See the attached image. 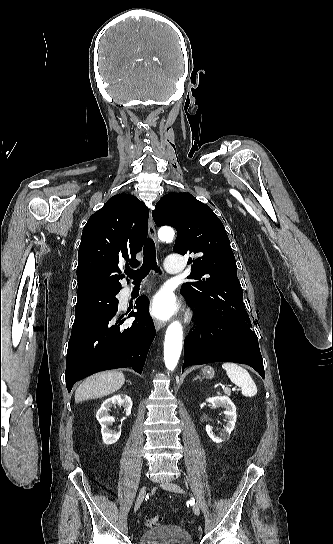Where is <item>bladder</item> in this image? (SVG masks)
Wrapping results in <instances>:
<instances>
[{
	"label": "bladder",
	"mask_w": 333,
	"mask_h": 544,
	"mask_svg": "<svg viewBox=\"0 0 333 544\" xmlns=\"http://www.w3.org/2000/svg\"><path fill=\"white\" fill-rule=\"evenodd\" d=\"M138 544H193L188 531L175 525H165L144 531Z\"/></svg>",
	"instance_id": "1"
}]
</instances>
